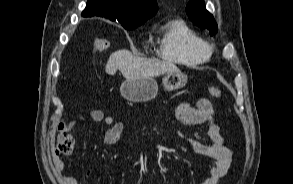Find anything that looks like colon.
<instances>
[{"instance_id": "colon-1", "label": "colon", "mask_w": 293, "mask_h": 184, "mask_svg": "<svg viewBox=\"0 0 293 184\" xmlns=\"http://www.w3.org/2000/svg\"><path fill=\"white\" fill-rule=\"evenodd\" d=\"M109 46V41L106 38H96L92 43L93 52L105 51ZM207 92L212 97L219 99L222 97V92L218 87L208 86ZM74 146L73 138L70 131L67 129L66 125L61 124L58 128L57 139L55 142L54 152L57 156H67L69 155Z\"/></svg>"}]
</instances>
